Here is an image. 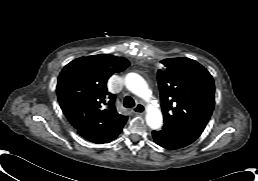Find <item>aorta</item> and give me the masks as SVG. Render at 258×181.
<instances>
[{
  "label": "aorta",
  "instance_id": "1",
  "mask_svg": "<svg viewBox=\"0 0 258 181\" xmlns=\"http://www.w3.org/2000/svg\"><path fill=\"white\" fill-rule=\"evenodd\" d=\"M124 83L126 88L133 94L149 101L151 92L147 82L137 73H128L125 76ZM146 123L151 129H159L163 124V117L160 109L153 105L147 107Z\"/></svg>",
  "mask_w": 258,
  "mask_h": 181
}]
</instances>
